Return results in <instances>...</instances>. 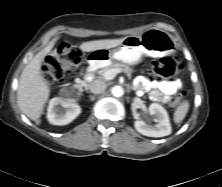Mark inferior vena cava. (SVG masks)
<instances>
[{"label": "inferior vena cava", "mask_w": 222, "mask_h": 187, "mask_svg": "<svg viewBox=\"0 0 222 187\" xmlns=\"http://www.w3.org/2000/svg\"><path fill=\"white\" fill-rule=\"evenodd\" d=\"M89 89L94 94H100L106 89V84L102 80H94L90 83Z\"/></svg>", "instance_id": "602c4592"}]
</instances>
